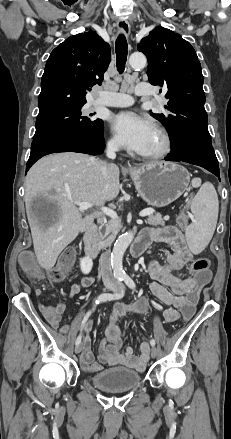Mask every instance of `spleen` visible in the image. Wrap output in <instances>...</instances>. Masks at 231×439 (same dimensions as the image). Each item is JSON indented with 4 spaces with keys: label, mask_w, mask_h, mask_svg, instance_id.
Segmentation results:
<instances>
[{
    "label": "spleen",
    "mask_w": 231,
    "mask_h": 439,
    "mask_svg": "<svg viewBox=\"0 0 231 439\" xmlns=\"http://www.w3.org/2000/svg\"><path fill=\"white\" fill-rule=\"evenodd\" d=\"M194 220L186 229L190 250L199 254L209 244L218 219L219 202L217 192L210 182H205L191 203Z\"/></svg>",
    "instance_id": "spleen-1"
}]
</instances>
